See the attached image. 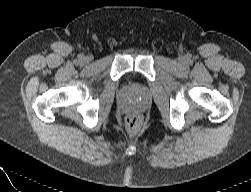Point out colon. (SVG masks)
Segmentation results:
<instances>
[{
    "label": "colon",
    "mask_w": 251,
    "mask_h": 192,
    "mask_svg": "<svg viewBox=\"0 0 251 192\" xmlns=\"http://www.w3.org/2000/svg\"><path fill=\"white\" fill-rule=\"evenodd\" d=\"M142 124L141 117L138 114H130L126 118V126L129 131L137 132Z\"/></svg>",
    "instance_id": "5ec220e1"
}]
</instances>
